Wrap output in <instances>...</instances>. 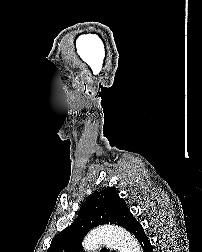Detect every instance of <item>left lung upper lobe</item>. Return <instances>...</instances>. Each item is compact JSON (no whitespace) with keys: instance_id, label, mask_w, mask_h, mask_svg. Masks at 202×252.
Instances as JSON below:
<instances>
[{"instance_id":"left-lung-upper-lobe-1","label":"left lung upper lobe","mask_w":202,"mask_h":252,"mask_svg":"<svg viewBox=\"0 0 202 252\" xmlns=\"http://www.w3.org/2000/svg\"><path fill=\"white\" fill-rule=\"evenodd\" d=\"M136 223L124 199L114 188L95 191L81 206L76 220L53 238L47 252H83L81 241L90 229L115 224L130 232ZM100 252L108 250L103 248Z\"/></svg>"}]
</instances>
